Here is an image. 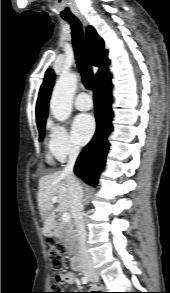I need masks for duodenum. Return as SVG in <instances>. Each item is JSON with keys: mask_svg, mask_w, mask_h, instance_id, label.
Wrapping results in <instances>:
<instances>
[{"mask_svg": "<svg viewBox=\"0 0 170 293\" xmlns=\"http://www.w3.org/2000/svg\"><path fill=\"white\" fill-rule=\"evenodd\" d=\"M53 226H44L42 227V233L45 237H50L52 235ZM71 264L74 270L79 271L81 270V258L78 252L75 251L74 256L71 260Z\"/></svg>", "mask_w": 170, "mask_h": 293, "instance_id": "duodenum-1", "label": "duodenum"}]
</instances>
